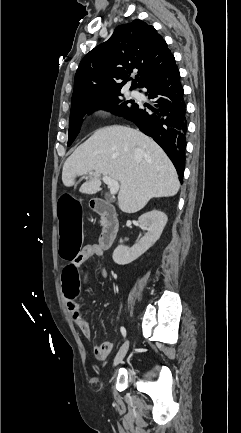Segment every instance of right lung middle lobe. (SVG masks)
<instances>
[{"label": "right lung middle lobe", "mask_w": 241, "mask_h": 433, "mask_svg": "<svg viewBox=\"0 0 241 433\" xmlns=\"http://www.w3.org/2000/svg\"><path fill=\"white\" fill-rule=\"evenodd\" d=\"M120 95V93H117L102 98L79 101L71 105L68 146L72 144L78 135L81 122L86 115L98 109H107L123 117L129 114L136 104L132 101L121 100Z\"/></svg>", "instance_id": "1"}]
</instances>
